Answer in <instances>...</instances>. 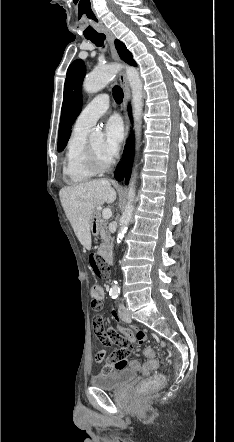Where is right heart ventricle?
I'll return each mask as SVG.
<instances>
[{"label":"right heart ventricle","mask_w":234,"mask_h":442,"mask_svg":"<svg viewBox=\"0 0 234 442\" xmlns=\"http://www.w3.org/2000/svg\"><path fill=\"white\" fill-rule=\"evenodd\" d=\"M88 132L74 127L67 142L63 174L71 184L85 183L96 175L86 161Z\"/></svg>","instance_id":"obj_1"}]
</instances>
